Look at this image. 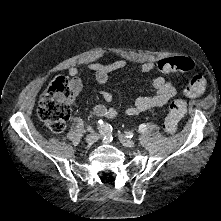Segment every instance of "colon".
<instances>
[{
	"mask_svg": "<svg viewBox=\"0 0 221 221\" xmlns=\"http://www.w3.org/2000/svg\"><path fill=\"white\" fill-rule=\"evenodd\" d=\"M157 67L165 74L189 72L194 68V62L188 57L176 56L160 60ZM205 89L204 77L195 75L186 86L185 95L194 98L201 95ZM76 94L71 82L61 76L56 78L40 97L38 115L51 132L58 134L65 130L71 116V103L75 100ZM185 113V101H174L163 124L164 132L168 135L174 134Z\"/></svg>",
	"mask_w": 221,
	"mask_h": 221,
	"instance_id": "obj_1",
	"label": "colon"
}]
</instances>
